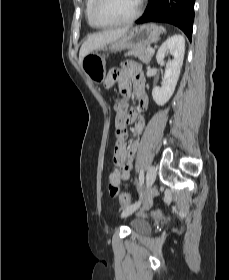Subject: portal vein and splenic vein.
<instances>
[{
  "label": "portal vein and splenic vein",
  "mask_w": 229,
  "mask_h": 280,
  "mask_svg": "<svg viewBox=\"0 0 229 280\" xmlns=\"http://www.w3.org/2000/svg\"><path fill=\"white\" fill-rule=\"evenodd\" d=\"M148 51H149L150 53H154V49H152V48H149Z\"/></svg>",
  "instance_id": "portal-vein-and-splenic-vein-1"
}]
</instances>
